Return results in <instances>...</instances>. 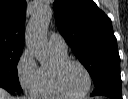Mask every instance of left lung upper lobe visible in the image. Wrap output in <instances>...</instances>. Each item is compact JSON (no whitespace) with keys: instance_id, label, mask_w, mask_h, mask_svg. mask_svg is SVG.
I'll return each instance as SVG.
<instances>
[{"instance_id":"left-lung-upper-lobe-1","label":"left lung upper lobe","mask_w":128,"mask_h":99,"mask_svg":"<svg viewBox=\"0 0 128 99\" xmlns=\"http://www.w3.org/2000/svg\"><path fill=\"white\" fill-rule=\"evenodd\" d=\"M59 32L91 75L94 85L120 74L117 40L110 18L92 0H58L53 4Z\"/></svg>"}]
</instances>
